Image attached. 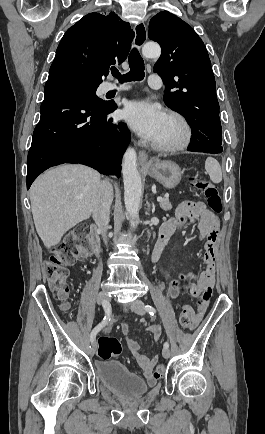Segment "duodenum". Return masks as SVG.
Segmentation results:
<instances>
[{
  "instance_id": "obj_1",
  "label": "duodenum",
  "mask_w": 265,
  "mask_h": 434,
  "mask_svg": "<svg viewBox=\"0 0 265 434\" xmlns=\"http://www.w3.org/2000/svg\"><path fill=\"white\" fill-rule=\"evenodd\" d=\"M89 230H94L95 231V230H99V229H98V227L96 225H93V226L90 227ZM97 244H98L97 253H98V256H99L100 252H101L100 240L98 241ZM165 246H166V243L164 241H157V243L155 244V246L153 248L152 255H151V258H152V260L154 262H156L161 257V255H162V253L164 251Z\"/></svg>"
}]
</instances>
